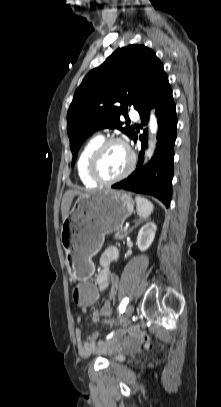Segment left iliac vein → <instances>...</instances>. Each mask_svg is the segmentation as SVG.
I'll use <instances>...</instances> for the list:
<instances>
[{"label":"left iliac vein","instance_id":"1","mask_svg":"<svg viewBox=\"0 0 221 407\" xmlns=\"http://www.w3.org/2000/svg\"><path fill=\"white\" fill-rule=\"evenodd\" d=\"M134 312V307L133 305H129L125 311V315L123 317V321L124 323H127L129 321V319L131 318L132 314ZM111 342V341H109Z\"/></svg>","mask_w":221,"mask_h":407}]
</instances>
